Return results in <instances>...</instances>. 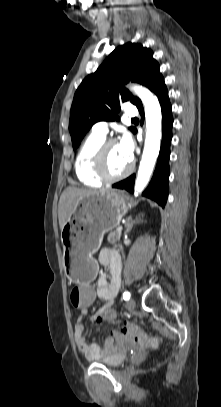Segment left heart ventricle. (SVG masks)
<instances>
[{"mask_svg":"<svg viewBox=\"0 0 221 407\" xmlns=\"http://www.w3.org/2000/svg\"><path fill=\"white\" fill-rule=\"evenodd\" d=\"M128 159L122 152L119 143L111 145L106 153L105 167L110 175H118L129 166Z\"/></svg>","mask_w":221,"mask_h":407,"instance_id":"obj_1","label":"left heart ventricle"}]
</instances>
